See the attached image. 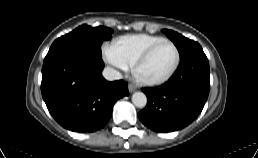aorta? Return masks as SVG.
Masks as SVG:
<instances>
[{"mask_svg": "<svg viewBox=\"0 0 258 158\" xmlns=\"http://www.w3.org/2000/svg\"><path fill=\"white\" fill-rule=\"evenodd\" d=\"M132 102L136 107L144 108L147 104V97L143 92L137 91L132 95Z\"/></svg>", "mask_w": 258, "mask_h": 158, "instance_id": "aorta-1", "label": "aorta"}]
</instances>
